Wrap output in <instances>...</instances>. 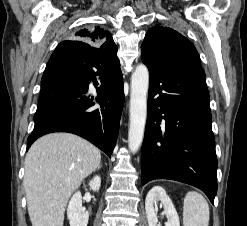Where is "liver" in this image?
Here are the masks:
<instances>
[{
    "instance_id": "obj_1",
    "label": "liver",
    "mask_w": 247,
    "mask_h": 226,
    "mask_svg": "<svg viewBox=\"0 0 247 226\" xmlns=\"http://www.w3.org/2000/svg\"><path fill=\"white\" fill-rule=\"evenodd\" d=\"M100 151L69 133L39 138L25 158L24 187L32 226H63L67 202L100 165Z\"/></svg>"
}]
</instances>
